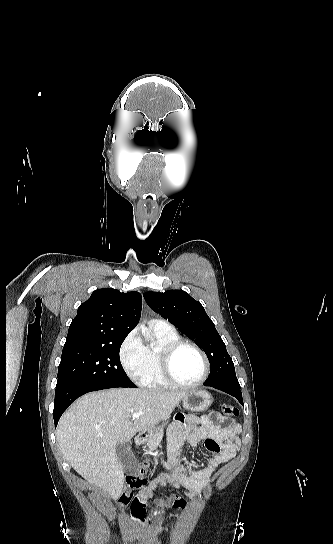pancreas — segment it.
<instances>
[{"label": "pancreas", "mask_w": 333, "mask_h": 544, "mask_svg": "<svg viewBox=\"0 0 333 544\" xmlns=\"http://www.w3.org/2000/svg\"><path fill=\"white\" fill-rule=\"evenodd\" d=\"M163 438V429H155L145 440L148 446L145 454H151Z\"/></svg>", "instance_id": "1"}]
</instances>
